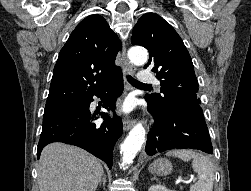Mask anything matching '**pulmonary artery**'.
<instances>
[{
    "label": "pulmonary artery",
    "instance_id": "e3ab8cb5",
    "mask_svg": "<svg viewBox=\"0 0 251 191\" xmlns=\"http://www.w3.org/2000/svg\"><path fill=\"white\" fill-rule=\"evenodd\" d=\"M142 73H138L137 77L140 78V82H156V73H149V68H142Z\"/></svg>",
    "mask_w": 251,
    "mask_h": 191
}]
</instances>
